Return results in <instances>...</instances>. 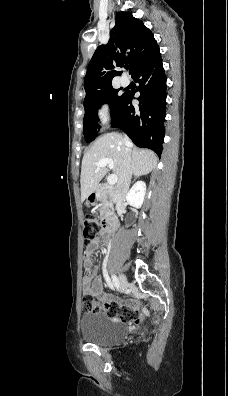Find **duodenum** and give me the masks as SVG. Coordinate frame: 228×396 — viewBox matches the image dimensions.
<instances>
[{
  "label": "duodenum",
  "instance_id": "410a0bca",
  "mask_svg": "<svg viewBox=\"0 0 228 396\" xmlns=\"http://www.w3.org/2000/svg\"><path fill=\"white\" fill-rule=\"evenodd\" d=\"M92 196L96 197V192L93 193ZM102 226L104 233L109 236V234L117 231L119 227L118 218L115 215H109L103 219Z\"/></svg>",
  "mask_w": 228,
  "mask_h": 396
}]
</instances>
